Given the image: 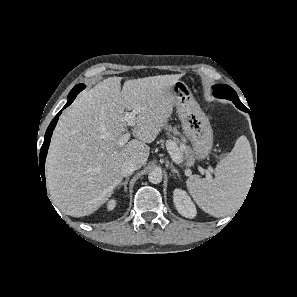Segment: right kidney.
Wrapping results in <instances>:
<instances>
[{"label": "right kidney", "instance_id": "right-kidney-1", "mask_svg": "<svg viewBox=\"0 0 297 297\" xmlns=\"http://www.w3.org/2000/svg\"><path fill=\"white\" fill-rule=\"evenodd\" d=\"M117 201L115 199H111L108 204H107V209L110 211V210H113L115 207H116V203Z\"/></svg>", "mask_w": 297, "mask_h": 297}]
</instances>
